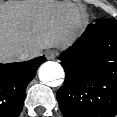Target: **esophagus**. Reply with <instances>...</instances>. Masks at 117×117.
Listing matches in <instances>:
<instances>
[{
	"label": "esophagus",
	"instance_id": "34e87169",
	"mask_svg": "<svg viewBox=\"0 0 117 117\" xmlns=\"http://www.w3.org/2000/svg\"><path fill=\"white\" fill-rule=\"evenodd\" d=\"M56 57V53L54 51H47L46 52V58L48 60H54Z\"/></svg>",
	"mask_w": 117,
	"mask_h": 117
}]
</instances>
